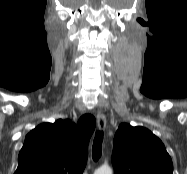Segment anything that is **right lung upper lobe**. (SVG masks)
<instances>
[{
    "mask_svg": "<svg viewBox=\"0 0 187 174\" xmlns=\"http://www.w3.org/2000/svg\"><path fill=\"white\" fill-rule=\"evenodd\" d=\"M95 124L61 119L40 124L27 134L14 174H82Z\"/></svg>",
    "mask_w": 187,
    "mask_h": 174,
    "instance_id": "obj_1",
    "label": "right lung upper lobe"
}]
</instances>
